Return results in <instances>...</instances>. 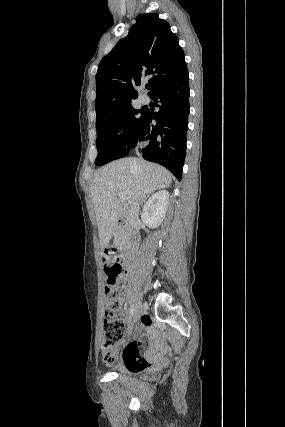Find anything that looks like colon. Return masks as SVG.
Masks as SVG:
<instances>
[{"label":"colon","instance_id":"5ec220e1","mask_svg":"<svg viewBox=\"0 0 285 427\" xmlns=\"http://www.w3.org/2000/svg\"><path fill=\"white\" fill-rule=\"evenodd\" d=\"M104 272L109 287L105 290L106 317L103 320L102 351L104 361L113 364L121 351L129 348V343L123 339L126 329L125 322L116 317L122 302V291L116 285L123 271V263L119 257L106 251L103 255Z\"/></svg>","mask_w":285,"mask_h":427}]
</instances>
